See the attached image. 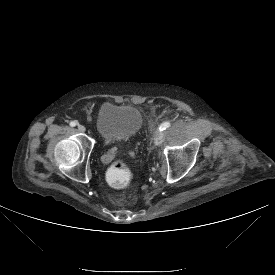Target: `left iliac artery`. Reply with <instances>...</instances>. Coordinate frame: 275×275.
Instances as JSON below:
<instances>
[{
  "mask_svg": "<svg viewBox=\"0 0 275 275\" xmlns=\"http://www.w3.org/2000/svg\"><path fill=\"white\" fill-rule=\"evenodd\" d=\"M170 122H164V123H162L160 126H159V130L160 131H163V130H165V129H167L168 127H170Z\"/></svg>",
  "mask_w": 275,
  "mask_h": 275,
  "instance_id": "44dca946",
  "label": "left iliac artery"
}]
</instances>
